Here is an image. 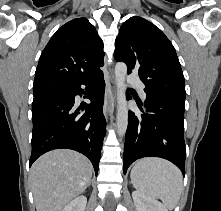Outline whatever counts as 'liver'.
Segmentation results:
<instances>
[{
	"label": "liver",
	"instance_id": "1",
	"mask_svg": "<svg viewBox=\"0 0 221 211\" xmlns=\"http://www.w3.org/2000/svg\"><path fill=\"white\" fill-rule=\"evenodd\" d=\"M92 177L90 161L72 150H53L31 167L30 180L37 211H62L83 193Z\"/></svg>",
	"mask_w": 221,
	"mask_h": 211
}]
</instances>
